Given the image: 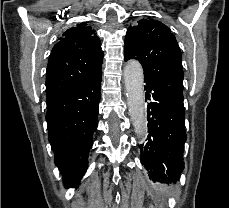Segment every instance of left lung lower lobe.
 Returning <instances> with one entry per match:
<instances>
[{
  "instance_id": "0a47b994",
  "label": "left lung lower lobe",
  "mask_w": 229,
  "mask_h": 208,
  "mask_svg": "<svg viewBox=\"0 0 229 208\" xmlns=\"http://www.w3.org/2000/svg\"><path fill=\"white\" fill-rule=\"evenodd\" d=\"M148 137L140 145L141 163L154 182L175 183L184 169L183 152L187 139L184 105L165 92L145 83Z\"/></svg>"
}]
</instances>
